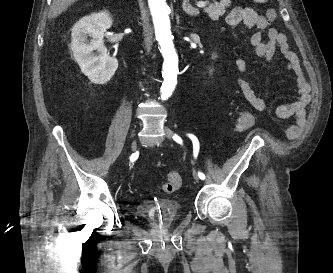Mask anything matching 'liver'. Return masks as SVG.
<instances>
[{
	"mask_svg": "<svg viewBox=\"0 0 333 273\" xmlns=\"http://www.w3.org/2000/svg\"><path fill=\"white\" fill-rule=\"evenodd\" d=\"M77 0H53L51 8V18H55L64 12L71 4Z\"/></svg>",
	"mask_w": 333,
	"mask_h": 273,
	"instance_id": "6515ba94",
	"label": "liver"
}]
</instances>
